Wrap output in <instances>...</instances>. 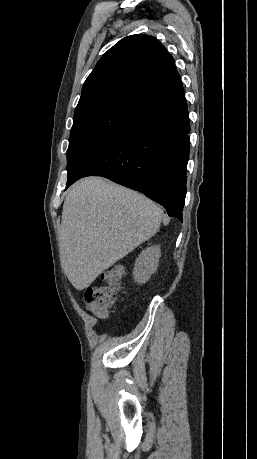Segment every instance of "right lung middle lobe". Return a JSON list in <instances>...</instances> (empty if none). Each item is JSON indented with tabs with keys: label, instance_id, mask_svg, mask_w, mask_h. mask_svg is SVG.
<instances>
[{
	"label": "right lung middle lobe",
	"instance_id": "1",
	"mask_svg": "<svg viewBox=\"0 0 257 459\" xmlns=\"http://www.w3.org/2000/svg\"><path fill=\"white\" fill-rule=\"evenodd\" d=\"M134 112L124 106H108L74 118L67 151L68 177L105 147Z\"/></svg>",
	"mask_w": 257,
	"mask_h": 459
}]
</instances>
